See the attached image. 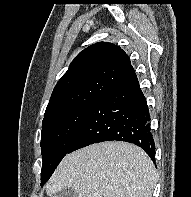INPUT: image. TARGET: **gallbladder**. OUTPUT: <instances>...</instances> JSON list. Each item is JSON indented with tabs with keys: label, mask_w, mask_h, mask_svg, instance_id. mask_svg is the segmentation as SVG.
Returning a JSON list of instances; mask_svg holds the SVG:
<instances>
[{
	"label": "gallbladder",
	"mask_w": 191,
	"mask_h": 197,
	"mask_svg": "<svg viewBox=\"0 0 191 197\" xmlns=\"http://www.w3.org/2000/svg\"><path fill=\"white\" fill-rule=\"evenodd\" d=\"M54 197H78L72 188H64L55 194Z\"/></svg>",
	"instance_id": "bac80fb5"
}]
</instances>
